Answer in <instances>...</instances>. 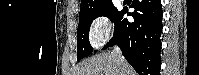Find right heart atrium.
<instances>
[{"mask_svg":"<svg viewBox=\"0 0 199 75\" xmlns=\"http://www.w3.org/2000/svg\"><path fill=\"white\" fill-rule=\"evenodd\" d=\"M113 27L106 16L96 17L90 24L88 29V38L90 44L94 48L104 45L111 36Z\"/></svg>","mask_w":199,"mask_h":75,"instance_id":"obj_1","label":"right heart atrium"}]
</instances>
